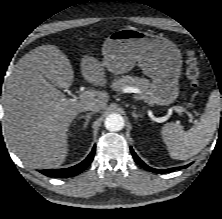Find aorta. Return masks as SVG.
Listing matches in <instances>:
<instances>
[{"instance_id":"1","label":"aorta","mask_w":222,"mask_h":219,"mask_svg":"<svg viewBox=\"0 0 222 219\" xmlns=\"http://www.w3.org/2000/svg\"><path fill=\"white\" fill-rule=\"evenodd\" d=\"M104 125L107 130L116 132L124 127V119L120 114L112 113L106 117Z\"/></svg>"}]
</instances>
